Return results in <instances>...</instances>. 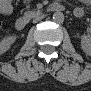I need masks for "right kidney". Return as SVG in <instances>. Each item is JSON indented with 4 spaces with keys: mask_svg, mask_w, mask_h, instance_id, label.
Instances as JSON below:
<instances>
[{
    "mask_svg": "<svg viewBox=\"0 0 91 91\" xmlns=\"http://www.w3.org/2000/svg\"><path fill=\"white\" fill-rule=\"evenodd\" d=\"M17 37L15 35L5 37L0 42V51L1 53H5L11 47V45L16 41Z\"/></svg>",
    "mask_w": 91,
    "mask_h": 91,
    "instance_id": "ca27d5eb",
    "label": "right kidney"
}]
</instances>
